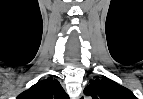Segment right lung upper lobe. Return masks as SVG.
Here are the masks:
<instances>
[{"label":"right lung upper lobe","instance_id":"cb5924a9","mask_svg":"<svg viewBox=\"0 0 143 99\" xmlns=\"http://www.w3.org/2000/svg\"><path fill=\"white\" fill-rule=\"evenodd\" d=\"M17 99H68V95L58 80L50 77L37 82Z\"/></svg>","mask_w":143,"mask_h":99}]
</instances>
